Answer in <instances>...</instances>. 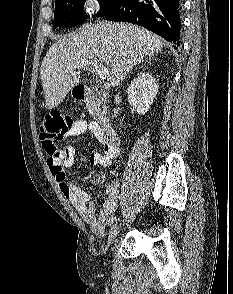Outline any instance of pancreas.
<instances>
[{
  "label": "pancreas",
  "instance_id": "obj_1",
  "mask_svg": "<svg viewBox=\"0 0 233 294\" xmlns=\"http://www.w3.org/2000/svg\"><path fill=\"white\" fill-rule=\"evenodd\" d=\"M87 109L91 116L95 120H100L101 119V111H100V103L99 102H93V101H88L87 102Z\"/></svg>",
  "mask_w": 233,
  "mask_h": 294
}]
</instances>
